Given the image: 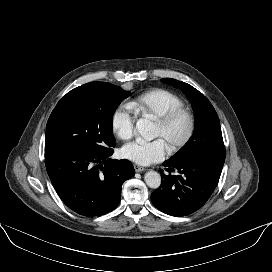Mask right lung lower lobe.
Wrapping results in <instances>:
<instances>
[{
    "instance_id": "1",
    "label": "right lung lower lobe",
    "mask_w": 272,
    "mask_h": 272,
    "mask_svg": "<svg viewBox=\"0 0 272 272\" xmlns=\"http://www.w3.org/2000/svg\"><path fill=\"white\" fill-rule=\"evenodd\" d=\"M112 154L113 149L109 147L98 153L64 151L46 159L51 182L71 210L93 217L118 206L121 186L135 171L129 160L109 159Z\"/></svg>"
}]
</instances>
